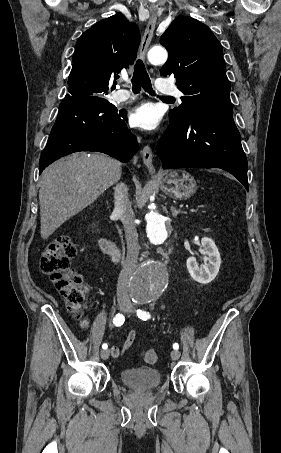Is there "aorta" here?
Segmentation results:
<instances>
[{"label":"aorta","instance_id":"aorta-1","mask_svg":"<svg viewBox=\"0 0 281 453\" xmlns=\"http://www.w3.org/2000/svg\"><path fill=\"white\" fill-rule=\"evenodd\" d=\"M168 53L163 47H153L148 52V60L153 65H161L167 61ZM146 214V232L151 243L161 244L169 236L165 218L153 210ZM168 285L166 268L158 261L145 262L131 277V292L135 299L149 302L157 298Z\"/></svg>","mask_w":281,"mask_h":453}]
</instances>
